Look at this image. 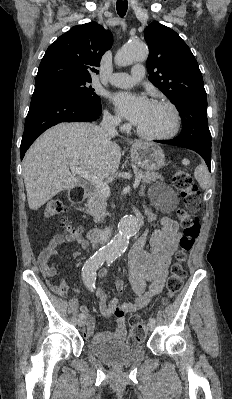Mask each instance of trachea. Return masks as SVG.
<instances>
[{
	"instance_id": "3493384b",
	"label": "trachea",
	"mask_w": 232,
	"mask_h": 399,
	"mask_svg": "<svg viewBox=\"0 0 232 399\" xmlns=\"http://www.w3.org/2000/svg\"><path fill=\"white\" fill-rule=\"evenodd\" d=\"M127 8H128L127 0H117L116 9L119 16L123 17L127 12Z\"/></svg>"
}]
</instances>
